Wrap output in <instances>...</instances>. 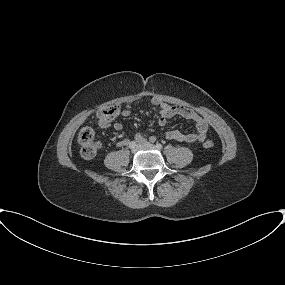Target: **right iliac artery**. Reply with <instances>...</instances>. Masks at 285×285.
Listing matches in <instances>:
<instances>
[{
  "label": "right iliac artery",
  "instance_id": "82829eb1",
  "mask_svg": "<svg viewBox=\"0 0 285 285\" xmlns=\"http://www.w3.org/2000/svg\"><path fill=\"white\" fill-rule=\"evenodd\" d=\"M127 145H128L129 148L132 149V148H134L136 146V142L135 141H130V142L128 141Z\"/></svg>",
  "mask_w": 285,
  "mask_h": 285
}]
</instances>
